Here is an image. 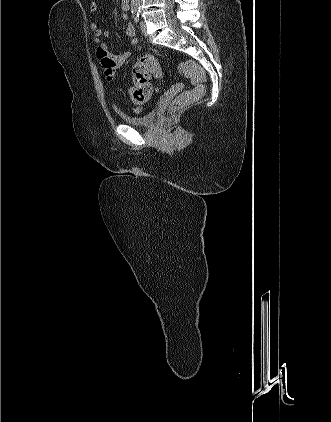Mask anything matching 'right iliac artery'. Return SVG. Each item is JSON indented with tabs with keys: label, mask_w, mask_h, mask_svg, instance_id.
Returning <instances> with one entry per match:
<instances>
[{
	"label": "right iliac artery",
	"mask_w": 331,
	"mask_h": 422,
	"mask_svg": "<svg viewBox=\"0 0 331 422\" xmlns=\"http://www.w3.org/2000/svg\"><path fill=\"white\" fill-rule=\"evenodd\" d=\"M133 18H134L135 23L139 22V11L133 12Z\"/></svg>",
	"instance_id": "82829eb1"
}]
</instances>
